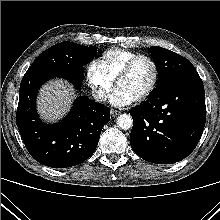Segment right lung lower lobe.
<instances>
[{"label": "right lung lower lobe", "mask_w": 220, "mask_h": 220, "mask_svg": "<svg viewBox=\"0 0 220 220\" xmlns=\"http://www.w3.org/2000/svg\"><path fill=\"white\" fill-rule=\"evenodd\" d=\"M83 69L27 71L20 85L16 124L31 156L53 168H67L88 159L96 150L110 110L101 103L80 96L71 112L58 124L47 125L36 112V95L43 83L55 77L81 88Z\"/></svg>", "instance_id": "98d812e1"}]
</instances>
